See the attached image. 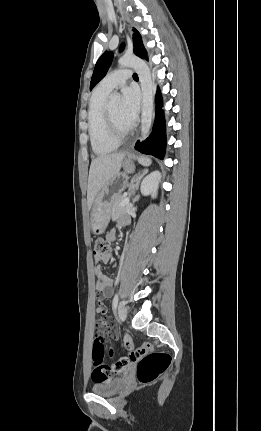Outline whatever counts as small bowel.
<instances>
[{"label": "small bowel", "instance_id": "1", "mask_svg": "<svg viewBox=\"0 0 261 431\" xmlns=\"http://www.w3.org/2000/svg\"><path fill=\"white\" fill-rule=\"evenodd\" d=\"M127 219L122 217L120 218V223H126ZM116 238V232L114 230H111L106 235V240L109 242H113ZM111 259V254L108 253L101 258H96L97 261H101L103 263L109 262ZM94 272L97 278L95 287H96V310L95 313L98 316H105L108 313V310L105 306V303L107 298H110L113 293L112 289V279L105 276L102 272L101 266L98 264L94 268ZM96 334L97 339H100L101 342L105 341L107 336H114V330L112 328V325L109 321L106 320L104 317H97V327H96ZM124 347L127 348V350H136V345H134L133 341H131L129 336L125 337L124 340ZM128 365V364H127ZM127 365H125L127 367Z\"/></svg>", "mask_w": 261, "mask_h": 431}]
</instances>
